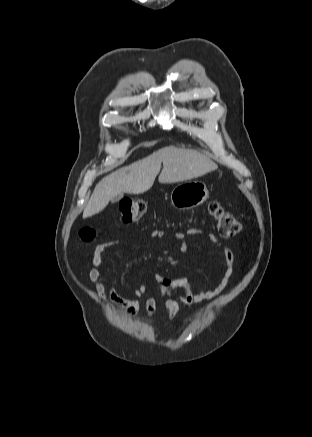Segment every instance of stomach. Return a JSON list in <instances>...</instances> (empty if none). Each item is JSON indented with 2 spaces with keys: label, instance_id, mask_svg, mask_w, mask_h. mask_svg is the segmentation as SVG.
<instances>
[{
  "label": "stomach",
  "instance_id": "stomach-1",
  "mask_svg": "<svg viewBox=\"0 0 312 437\" xmlns=\"http://www.w3.org/2000/svg\"><path fill=\"white\" fill-rule=\"evenodd\" d=\"M209 197L205 183L186 181L177 185L171 192L170 200L177 210H190L203 204Z\"/></svg>",
  "mask_w": 312,
  "mask_h": 437
}]
</instances>
